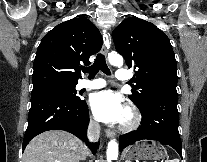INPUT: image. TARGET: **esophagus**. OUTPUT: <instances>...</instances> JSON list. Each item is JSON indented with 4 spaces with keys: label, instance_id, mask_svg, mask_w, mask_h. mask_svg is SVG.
Here are the masks:
<instances>
[{
    "label": "esophagus",
    "instance_id": "obj_1",
    "mask_svg": "<svg viewBox=\"0 0 207 162\" xmlns=\"http://www.w3.org/2000/svg\"><path fill=\"white\" fill-rule=\"evenodd\" d=\"M103 47H102V53L106 56L109 52L110 44H111V36L110 34L106 37H103ZM105 134L108 138H113L115 136V133L112 130L106 129Z\"/></svg>",
    "mask_w": 207,
    "mask_h": 162
}]
</instances>
